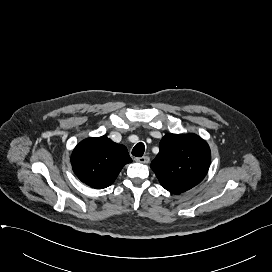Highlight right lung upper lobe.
<instances>
[{
	"instance_id": "1",
	"label": "right lung upper lobe",
	"mask_w": 272,
	"mask_h": 272,
	"mask_svg": "<svg viewBox=\"0 0 272 272\" xmlns=\"http://www.w3.org/2000/svg\"><path fill=\"white\" fill-rule=\"evenodd\" d=\"M131 162L127 148L106 136L83 140L71 156L76 176L95 189L110 186L123 166Z\"/></svg>"
}]
</instances>
